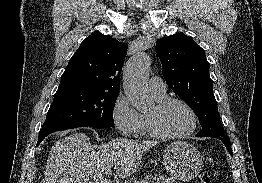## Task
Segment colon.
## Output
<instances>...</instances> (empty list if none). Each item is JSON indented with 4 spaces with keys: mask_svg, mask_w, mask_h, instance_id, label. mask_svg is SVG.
<instances>
[{
    "mask_svg": "<svg viewBox=\"0 0 262 183\" xmlns=\"http://www.w3.org/2000/svg\"><path fill=\"white\" fill-rule=\"evenodd\" d=\"M198 183H211V175L209 172H202L198 175Z\"/></svg>",
    "mask_w": 262,
    "mask_h": 183,
    "instance_id": "obj_1",
    "label": "colon"
}]
</instances>
